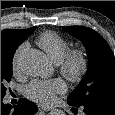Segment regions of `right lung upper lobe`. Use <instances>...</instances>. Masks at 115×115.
I'll return each instance as SVG.
<instances>
[{
  "mask_svg": "<svg viewBox=\"0 0 115 115\" xmlns=\"http://www.w3.org/2000/svg\"><path fill=\"white\" fill-rule=\"evenodd\" d=\"M32 27L25 30L6 29L1 31V51L15 52L18 46L35 30Z\"/></svg>",
  "mask_w": 115,
  "mask_h": 115,
  "instance_id": "right-lung-upper-lobe-1",
  "label": "right lung upper lobe"
}]
</instances>
